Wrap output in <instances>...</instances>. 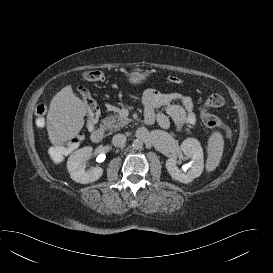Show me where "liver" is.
Masks as SVG:
<instances>
[{
    "instance_id": "obj_1",
    "label": "liver",
    "mask_w": 273,
    "mask_h": 273,
    "mask_svg": "<svg viewBox=\"0 0 273 273\" xmlns=\"http://www.w3.org/2000/svg\"><path fill=\"white\" fill-rule=\"evenodd\" d=\"M85 103L67 86L51 100L47 114V132L53 145H61L76 137L84 126Z\"/></svg>"
}]
</instances>
